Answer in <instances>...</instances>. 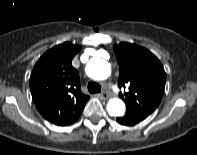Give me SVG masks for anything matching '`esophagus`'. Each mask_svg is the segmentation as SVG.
<instances>
[{
  "label": "esophagus",
  "mask_w": 197,
  "mask_h": 155,
  "mask_svg": "<svg viewBox=\"0 0 197 155\" xmlns=\"http://www.w3.org/2000/svg\"><path fill=\"white\" fill-rule=\"evenodd\" d=\"M100 97H101L103 100H107V99L110 98V96H109L107 93H102V94L100 95Z\"/></svg>",
  "instance_id": "34e87169"
}]
</instances>
